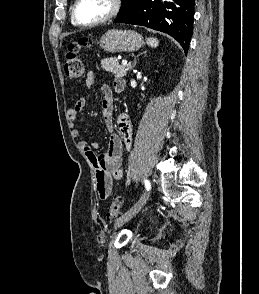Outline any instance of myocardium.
Wrapping results in <instances>:
<instances>
[{"mask_svg": "<svg viewBox=\"0 0 259 294\" xmlns=\"http://www.w3.org/2000/svg\"><path fill=\"white\" fill-rule=\"evenodd\" d=\"M80 1L81 0H75L74 4L72 6L71 20L75 25H77L79 27H83V28L95 27V26H98V25H101V24H104V23L110 21L111 19H113L119 15V13L122 10V6H123V0H111V9L105 16H103L102 18H100L94 22L82 23L77 18V7H78Z\"/></svg>", "mask_w": 259, "mask_h": 294, "instance_id": "f54148a6", "label": "myocardium"}]
</instances>
